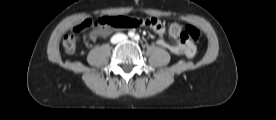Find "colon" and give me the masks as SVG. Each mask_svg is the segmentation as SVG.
<instances>
[{"instance_id": "obj_1", "label": "colon", "mask_w": 276, "mask_h": 120, "mask_svg": "<svg viewBox=\"0 0 276 120\" xmlns=\"http://www.w3.org/2000/svg\"><path fill=\"white\" fill-rule=\"evenodd\" d=\"M91 24V20H84L73 28L72 33L64 36L62 44L67 53L72 54L75 52L77 44L76 34L87 29ZM98 24L115 29L137 27L140 25H146L153 29H157L164 26L163 20L159 18L134 19L125 16L102 17L98 20ZM170 33L173 36L180 37L182 41L186 42L198 41L200 38L199 30L192 25L181 26L180 24L173 23L170 26Z\"/></svg>"}]
</instances>
